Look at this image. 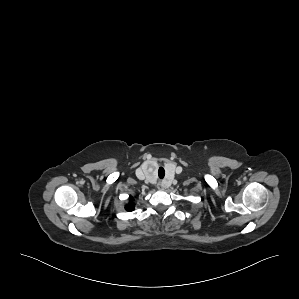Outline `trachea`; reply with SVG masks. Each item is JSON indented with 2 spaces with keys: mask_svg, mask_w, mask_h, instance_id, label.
<instances>
[{
  "mask_svg": "<svg viewBox=\"0 0 299 299\" xmlns=\"http://www.w3.org/2000/svg\"><path fill=\"white\" fill-rule=\"evenodd\" d=\"M158 176L159 178L163 179L164 176H165V170L163 167H160L159 170H158Z\"/></svg>",
  "mask_w": 299,
  "mask_h": 299,
  "instance_id": "trachea-1",
  "label": "trachea"
}]
</instances>
